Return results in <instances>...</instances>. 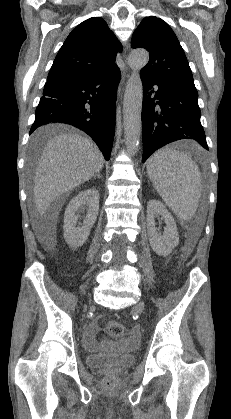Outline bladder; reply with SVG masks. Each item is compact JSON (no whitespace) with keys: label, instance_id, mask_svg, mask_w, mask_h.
I'll list each match as a JSON object with an SVG mask.
<instances>
[{"label":"bladder","instance_id":"31cf9c89","mask_svg":"<svg viewBox=\"0 0 231 419\" xmlns=\"http://www.w3.org/2000/svg\"><path fill=\"white\" fill-rule=\"evenodd\" d=\"M136 362V356L121 352L104 354H88L86 364L92 368L99 367H127Z\"/></svg>","mask_w":231,"mask_h":419}]
</instances>
